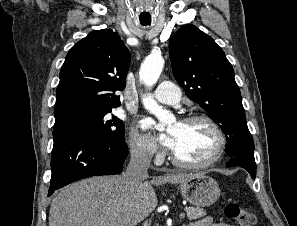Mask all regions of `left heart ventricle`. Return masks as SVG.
Returning a JSON list of instances; mask_svg holds the SVG:
<instances>
[{
	"label": "left heart ventricle",
	"mask_w": 297,
	"mask_h": 226,
	"mask_svg": "<svg viewBox=\"0 0 297 226\" xmlns=\"http://www.w3.org/2000/svg\"><path fill=\"white\" fill-rule=\"evenodd\" d=\"M169 132L175 136L172 148L176 156L185 162L200 163L213 154L217 145V136L204 122L170 124Z\"/></svg>",
	"instance_id": "left-heart-ventricle-1"
}]
</instances>
